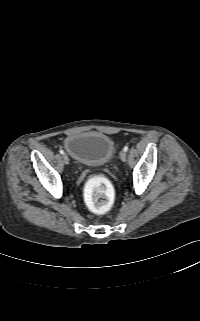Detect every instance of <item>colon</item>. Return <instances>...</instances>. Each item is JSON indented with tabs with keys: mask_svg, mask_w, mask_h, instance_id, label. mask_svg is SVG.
<instances>
[{
	"mask_svg": "<svg viewBox=\"0 0 200 321\" xmlns=\"http://www.w3.org/2000/svg\"><path fill=\"white\" fill-rule=\"evenodd\" d=\"M89 209L96 214H104L110 210L114 202V190L103 178H92L85 190Z\"/></svg>",
	"mask_w": 200,
	"mask_h": 321,
	"instance_id": "1",
	"label": "colon"
}]
</instances>
